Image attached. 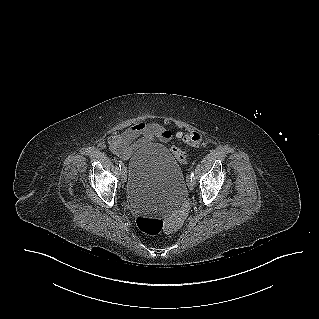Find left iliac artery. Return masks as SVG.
I'll return each instance as SVG.
<instances>
[{
	"label": "left iliac artery",
	"mask_w": 319,
	"mask_h": 319,
	"mask_svg": "<svg viewBox=\"0 0 319 319\" xmlns=\"http://www.w3.org/2000/svg\"><path fill=\"white\" fill-rule=\"evenodd\" d=\"M191 180L195 181V175L194 173L191 171V175H190Z\"/></svg>",
	"instance_id": "1"
}]
</instances>
